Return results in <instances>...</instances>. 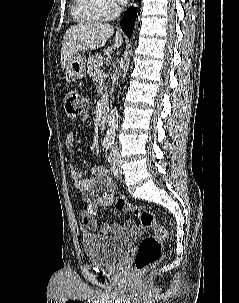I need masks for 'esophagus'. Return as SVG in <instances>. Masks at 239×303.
Segmentation results:
<instances>
[{
    "label": "esophagus",
    "instance_id": "34e87169",
    "mask_svg": "<svg viewBox=\"0 0 239 303\" xmlns=\"http://www.w3.org/2000/svg\"><path fill=\"white\" fill-rule=\"evenodd\" d=\"M137 2H138V0H133V6H136V4H137Z\"/></svg>",
    "mask_w": 239,
    "mask_h": 303
}]
</instances>
